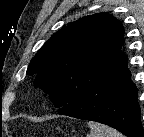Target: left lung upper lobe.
<instances>
[{
  "instance_id": "1",
  "label": "left lung upper lobe",
  "mask_w": 144,
  "mask_h": 137,
  "mask_svg": "<svg viewBox=\"0 0 144 137\" xmlns=\"http://www.w3.org/2000/svg\"><path fill=\"white\" fill-rule=\"evenodd\" d=\"M124 29L109 13L89 15L56 32L31 60L34 86L63 108L92 89L127 57L121 52Z\"/></svg>"
}]
</instances>
